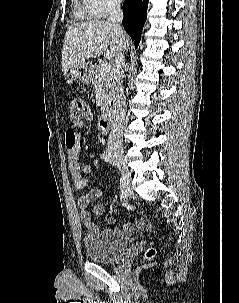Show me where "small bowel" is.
<instances>
[{"mask_svg": "<svg viewBox=\"0 0 239 303\" xmlns=\"http://www.w3.org/2000/svg\"><path fill=\"white\" fill-rule=\"evenodd\" d=\"M89 118L92 117L90 114ZM82 123L78 122L72 125L65 134V151L67 155V163L70 175L77 189H85L88 185V179L83 177L82 173H91L93 167L88 164L80 163V153L82 141L78 133V129ZM102 194L100 188H93L78 199V206L81 210V220L86 230L87 236L92 239H107L111 240L114 237L122 235H130L136 230L145 229L148 227V221L146 219H139L135 222L127 223L123 228H103L100 229L98 225L93 221L92 215H101L104 212L106 203H95L89 209L92 202L97 200ZM109 223L115 222L114 218L108 219Z\"/></svg>", "mask_w": 239, "mask_h": 303, "instance_id": "obj_1", "label": "small bowel"}]
</instances>
